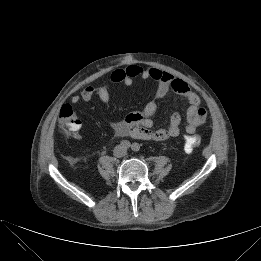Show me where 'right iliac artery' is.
Returning <instances> with one entry per match:
<instances>
[{
    "label": "right iliac artery",
    "mask_w": 261,
    "mask_h": 261,
    "mask_svg": "<svg viewBox=\"0 0 261 261\" xmlns=\"http://www.w3.org/2000/svg\"><path fill=\"white\" fill-rule=\"evenodd\" d=\"M120 145H121L122 148H125V149H127V148H129L131 146L130 142L127 141V140H122L120 142Z\"/></svg>",
    "instance_id": "right-iliac-artery-1"
}]
</instances>
